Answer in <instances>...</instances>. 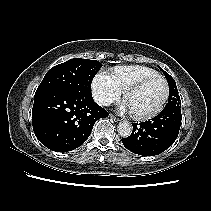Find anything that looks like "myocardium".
<instances>
[{
    "label": "myocardium",
    "mask_w": 211,
    "mask_h": 211,
    "mask_svg": "<svg viewBox=\"0 0 211 211\" xmlns=\"http://www.w3.org/2000/svg\"><path fill=\"white\" fill-rule=\"evenodd\" d=\"M154 80H161L164 83V85H165V95H164V98H163L162 102L160 103V105L155 110H153L152 112H149L147 114H136V113L131 112L132 116L135 119H137V120L146 121V120L152 119V118L156 117L158 114H160L163 111V109L165 108V106H166V104H167V102L169 100V97H170L169 83L161 75L150 76V77H146V78H143V79L139 80L138 82H136L133 85L129 86L124 91L123 98H124V100H126L127 96L130 93L135 92V91L141 89L142 87H144L145 85H147L148 83H150V82H152Z\"/></svg>",
    "instance_id": "obj_1"
}]
</instances>
